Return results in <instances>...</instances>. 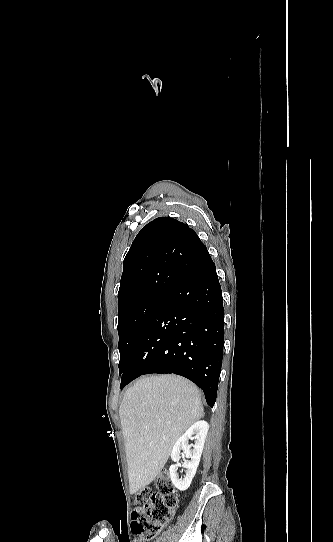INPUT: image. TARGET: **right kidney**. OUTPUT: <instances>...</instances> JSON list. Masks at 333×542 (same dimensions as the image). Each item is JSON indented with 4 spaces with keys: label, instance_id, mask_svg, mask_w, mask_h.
I'll use <instances>...</instances> for the list:
<instances>
[{
    "label": "right kidney",
    "instance_id": "obj_1",
    "mask_svg": "<svg viewBox=\"0 0 333 542\" xmlns=\"http://www.w3.org/2000/svg\"><path fill=\"white\" fill-rule=\"evenodd\" d=\"M208 430L209 426L207 422H204V420L195 422V424H193L191 428H188L185 434H183V436L177 440L176 444H174L172 448L171 458L173 462H179L181 458V450H184V458H189V460H185V462H183V468H186V476H184L182 480H180L177 474L178 466H176V464H173V466H170L169 468L171 482L174 484L177 490H180V492H185V490H188L196 474ZM192 436H194L193 440L195 444L189 446V440L192 438ZM190 448H193V450H190Z\"/></svg>",
    "mask_w": 333,
    "mask_h": 542
}]
</instances>
